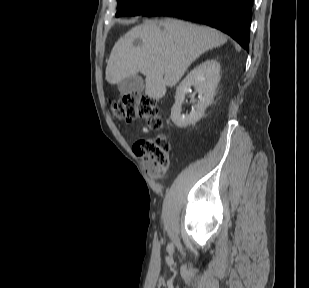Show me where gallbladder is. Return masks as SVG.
<instances>
[{
	"instance_id": "gallbladder-1",
	"label": "gallbladder",
	"mask_w": 309,
	"mask_h": 288,
	"mask_svg": "<svg viewBox=\"0 0 309 288\" xmlns=\"http://www.w3.org/2000/svg\"><path fill=\"white\" fill-rule=\"evenodd\" d=\"M118 90L121 95L141 93L144 90V81L137 74L129 76L118 83Z\"/></svg>"
}]
</instances>
